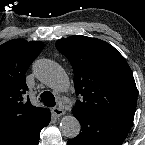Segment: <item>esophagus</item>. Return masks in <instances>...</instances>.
<instances>
[{"label":"esophagus","instance_id":"esophagus-1","mask_svg":"<svg viewBox=\"0 0 145 145\" xmlns=\"http://www.w3.org/2000/svg\"><path fill=\"white\" fill-rule=\"evenodd\" d=\"M52 112H53V114H54L56 117H60V116H62V115L65 114V111H64L62 108H60V107H55V108H53V109H52Z\"/></svg>","mask_w":145,"mask_h":145}]
</instances>
